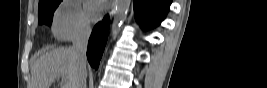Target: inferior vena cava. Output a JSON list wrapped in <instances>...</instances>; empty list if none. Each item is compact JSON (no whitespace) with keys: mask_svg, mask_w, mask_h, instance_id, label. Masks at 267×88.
Wrapping results in <instances>:
<instances>
[{"mask_svg":"<svg viewBox=\"0 0 267 88\" xmlns=\"http://www.w3.org/2000/svg\"><path fill=\"white\" fill-rule=\"evenodd\" d=\"M90 34V25L84 24L73 38L72 51L77 64V79L74 88H86V52Z\"/></svg>","mask_w":267,"mask_h":88,"instance_id":"inferior-vena-cava-1","label":"inferior vena cava"}]
</instances>
